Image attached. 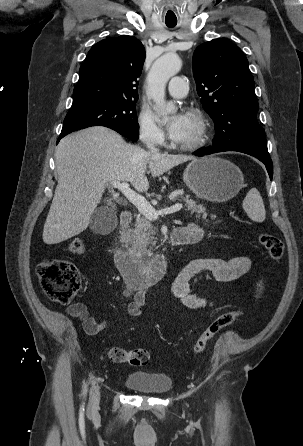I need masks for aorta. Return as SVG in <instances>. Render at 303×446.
<instances>
[{"label": "aorta", "instance_id": "aorta-1", "mask_svg": "<svg viewBox=\"0 0 303 446\" xmlns=\"http://www.w3.org/2000/svg\"><path fill=\"white\" fill-rule=\"evenodd\" d=\"M182 66L176 53H167L158 58L147 76V94L155 102V110L159 115L173 113L176 107L165 101V87L168 80L176 75Z\"/></svg>", "mask_w": 303, "mask_h": 446}]
</instances>
